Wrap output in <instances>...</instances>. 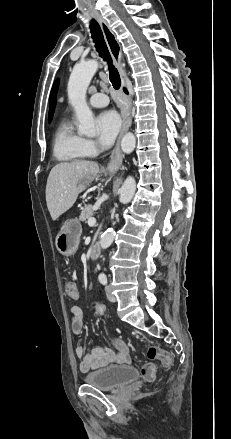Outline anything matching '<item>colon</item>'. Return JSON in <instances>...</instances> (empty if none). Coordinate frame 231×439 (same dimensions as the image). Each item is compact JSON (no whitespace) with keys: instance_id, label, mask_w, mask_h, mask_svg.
I'll list each match as a JSON object with an SVG mask.
<instances>
[{"instance_id":"5ec220e1","label":"colon","mask_w":231,"mask_h":439,"mask_svg":"<svg viewBox=\"0 0 231 439\" xmlns=\"http://www.w3.org/2000/svg\"><path fill=\"white\" fill-rule=\"evenodd\" d=\"M65 292L70 298H79L81 292L77 289L76 284L73 281H67L65 284ZM96 314L103 313L101 305H96ZM147 357L150 360H160L164 367H171L174 363L173 355L158 346H149L147 349ZM155 366L152 364L144 365L141 369L143 378L147 381H152L155 378Z\"/></svg>"}]
</instances>
